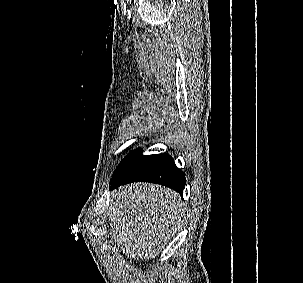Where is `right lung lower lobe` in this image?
Returning <instances> with one entry per match:
<instances>
[{"label":"right lung lower lobe","instance_id":"1","mask_svg":"<svg viewBox=\"0 0 303 283\" xmlns=\"http://www.w3.org/2000/svg\"><path fill=\"white\" fill-rule=\"evenodd\" d=\"M132 182H151L169 187L181 195L185 174L169 154L142 155L141 150L130 152L115 170L111 189Z\"/></svg>","mask_w":303,"mask_h":283}]
</instances>
